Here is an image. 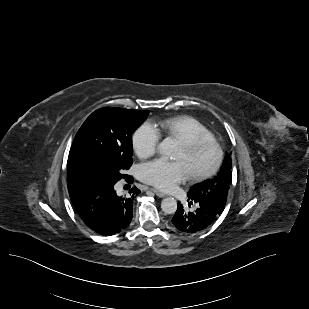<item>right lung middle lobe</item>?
Segmentation results:
<instances>
[{"mask_svg": "<svg viewBox=\"0 0 309 309\" xmlns=\"http://www.w3.org/2000/svg\"><path fill=\"white\" fill-rule=\"evenodd\" d=\"M148 114L110 107L93 112L74 138L67 169H82L109 182L124 178L133 163L131 134Z\"/></svg>", "mask_w": 309, "mask_h": 309, "instance_id": "obj_1", "label": "right lung middle lobe"}]
</instances>
